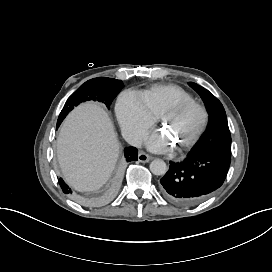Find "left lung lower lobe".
<instances>
[{"mask_svg":"<svg viewBox=\"0 0 272 272\" xmlns=\"http://www.w3.org/2000/svg\"><path fill=\"white\" fill-rule=\"evenodd\" d=\"M230 162V156L220 153L190 154L183 162H170L160 192L177 205H194L222 186Z\"/></svg>","mask_w":272,"mask_h":272,"instance_id":"1","label":"left lung lower lobe"}]
</instances>
